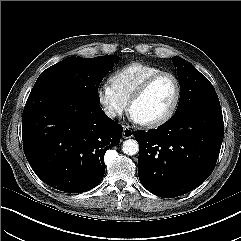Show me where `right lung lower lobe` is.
Returning a JSON list of instances; mask_svg holds the SVG:
<instances>
[{
	"instance_id": "98d812e1",
	"label": "right lung lower lobe",
	"mask_w": 241,
	"mask_h": 241,
	"mask_svg": "<svg viewBox=\"0 0 241 241\" xmlns=\"http://www.w3.org/2000/svg\"><path fill=\"white\" fill-rule=\"evenodd\" d=\"M123 128L99 104L66 88L30 94L22 114L25 156L37 176L64 192L95 188L105 172V152Z\"/></svg>"
}]
</instances>
